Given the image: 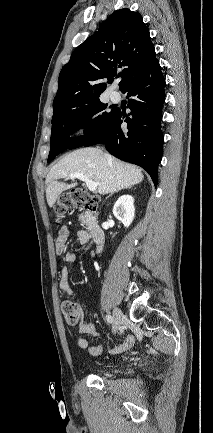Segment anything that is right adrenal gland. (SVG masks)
I'll use <instances>...</instances> for the list:
<instances>
[{
	"label": "right adrenal gland",
	"instance_id": "2a0ac1e0",
	"mask_svg": "<svg viewBox=\"0 0 213 433\" xmlns=\"http://www.w3.org/2000/svg\"><path fill=\"white\" fill-rule=\"evenodd\" d=\"M130 188V187H129ZM118 191H120V190H118ZM118 191H116V192H118ZM113 195V193L110 195V196H108L107 198H109V197H111Z\"/></svg>",
	"mask_w": 213,
	"mask_h": 433
}]
</instances>
